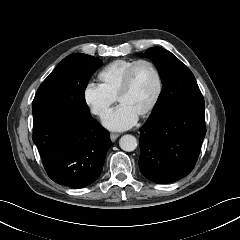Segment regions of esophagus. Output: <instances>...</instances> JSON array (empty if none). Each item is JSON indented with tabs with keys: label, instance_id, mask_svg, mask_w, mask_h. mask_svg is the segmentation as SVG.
Segmentation results:
<instances>
[{
	"label": "esophagus",
	"instance_id": "34e87169",
	"mask_svg": "<svg viewBox=\"0 0 240 240\" xmlns=\"http://www.w3.org/2000/svg\"><path fill=\"white\" fill-rule=\"evenodd\" d=\"M120 135L118 133H111L110 138L114 142Z\"/></svg>",
	"mask_w": 240,
	"mask_h": 240
}]
</instances>
